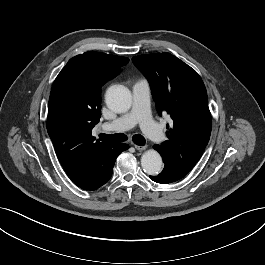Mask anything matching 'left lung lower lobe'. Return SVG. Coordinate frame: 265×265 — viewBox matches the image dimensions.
I'll return each instance as SVG.
<instances>
[{"mask_svg": "<svg viewBox=\"0 0 265 265\" xmlns=\"http://www.w3.org/2000/svg\"><path fill=\"white\" fill-rule=\"evenodd\" d=\"M154 149L159 152L158 146L155 145ZM183 177L177 175L176 173L172 172L169 168H164L163 171L157 176H150V179L161 184H168L171 182H175Z\"/></svg>", "mask_w": 265, "mask_h": 265, "instance_id": "obj_1", "label": "left lung lower lobe"}]
</instances>
